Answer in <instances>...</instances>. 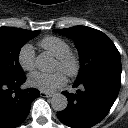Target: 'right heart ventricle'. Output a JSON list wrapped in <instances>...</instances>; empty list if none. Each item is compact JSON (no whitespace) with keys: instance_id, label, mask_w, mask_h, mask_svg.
Instances as JSON below:
<instances>
[{"instance_id":"obj_1","label":"right heart ventricle","mask_w":128,"mask_h":128,"mask_svg":"<svg viewBox=\"0 0 128 128\" xmlns=\"http://www.w3.org/2000/svg\"><path fill=\"white\" fill-rule=\"evenodd\" d=\"M39 45L56 58L63 56L69 50L68 43L57 36H47L39 42Z\"/></svg>"}]
</instances>
